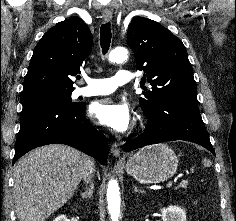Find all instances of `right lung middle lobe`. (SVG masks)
<instances>
[{
  "label": "right lung middle lobe",
  "mask_w": 236,
  "mask_h": 221,
  "mask_svg": "<svg viewBox=\"0 0 236 221\" xmlns=\"http://www.w3.org/2000/svg\"><path fill=\"white\" fill-rule=\"evenodd\" d=\"M73 90L63 89H41L28 93L21 94V103L23 106L42 103V102H53L61 103L64 105L78 106L80 103L72 102L71 92Z\"/></svg>",
  "instance_id": "1"
}]
</instances>
